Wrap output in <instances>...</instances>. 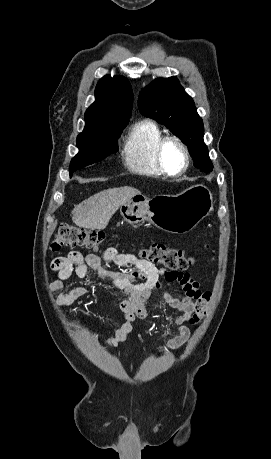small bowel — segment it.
Here are the masks:
<instances>
[{"instance_id": "c3829d8e", "label": "small bowel", "mask_w": 271, "mask_h": 459, "mask_svg": "<svg viewBox=\"0 0 271 459\" xmlns=\"http://www.w3.org/2000/svg\"><path fill=\"white\" fill-rule=\"evenodd\" d=\"M107 262H113L120 267L132 266L134 270L130 272L113 271L107 268ZM51 267L58 273V279L53 280L50 287L60 292L58 303L61 305H69L89 293V288L86 286L73 288L67 293L63 292L62 281L69 278L72 273L80 278L104 282L126 295V298L120 303L125 321L114 336L103 341L108 348H115L127 338L136 318H146L148 303L154 290L162 285L161 278L168 284L178 283L182 290L180 296H174L168 292L161 294V298L171 308L182 313L174 321L177 326V335L166 345L160 346L158 350L159 352L175 350L188 341L190 329L183 323L190 319L196 300L202 293L199 283L189 273L158 269L152 262L132 253H120L114 247L105 249L102 256L84 255L80 251H71L67 256L54 259Z\"/></svg>"}]
</instances>
